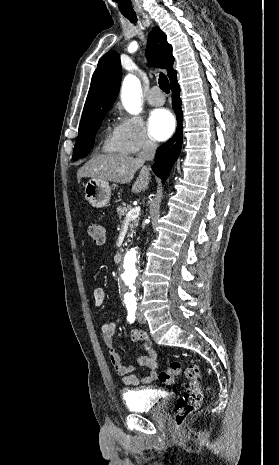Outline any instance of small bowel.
Segmentation results:
<instances>
[{
    "label": "small bowel",
    "mask_w": 279,
    "mask_h": 465,
    "mask_svg": "<svg viewBox=\"0 0 279 465\" xmlns=\"http://www.w3.org/2000/svg\"><path fill=\"white\" fill-rule=\"evenodd\" d=\"M106 299V292L103 288L97 287L93 291V300L95 306H101ZM115 322H104L101 325V333L103 341L109 350V359L113 365L115 372L122 378V383L125 386H137L142 384H151L157 379L156 369L160 362V357L154 350L153 343L148 338L146 333L141 330H133L130 333V340L132 342L140 343L145 351V355L139 357L138 365L146 367L148 373L141 380L135 374L136 367L133 365H125L122 363L119 353L113 348V337L116 333Z\"/></svg>",
    "instance_id": "1"
}]
</instances>
